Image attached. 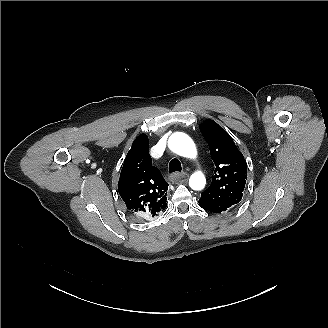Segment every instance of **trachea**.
Masks as SVG:
<instances>
[{
	"mask_svg": "<svg viewBox=\"0 0 328 328\" xmlns=\"http://www.w3.org/2000/svg\"><path fill=\"white\" fill-rule=\"evenodd\" d=\"M168 170H169L170 173H173V172H176V171H181L182 166H181L180 161L176 158L172 159L169 163Z\"/></svg>",
	"mask_w": 328,
	"mask_h": 328,
	"instance_id": "trachea-1",
	"label": "trachea"
}]
</instances>
